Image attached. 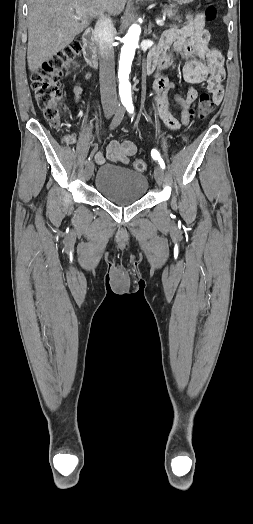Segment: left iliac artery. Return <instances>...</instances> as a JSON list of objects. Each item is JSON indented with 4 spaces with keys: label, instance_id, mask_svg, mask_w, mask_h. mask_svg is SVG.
Returning <instances> with one entry per match:
<instances>
[{
    "label": "left iliac artery",
    "instance_id": "obj_1",
    "mask_svg": "<svg viewBox=\"0 0 253 524\" xmlns=\"http://www.w3.org/2000/svg\"><path fill=\"white\" fill-rule=\"evenodd\" d=\"M125 107L127 109V111L129 113H133L134 112V106L132 104V102H126L125 103ZM151 156L153 157V159L157 160L161 166L162 169H165V163L163 161V159L160 157V154L157 150L153 149L151 151Z\"/></svg>",
    "mask_w": 253,
    "mask_h": 524
}]
</instances>
